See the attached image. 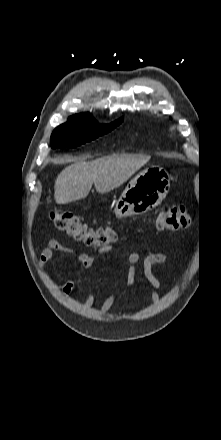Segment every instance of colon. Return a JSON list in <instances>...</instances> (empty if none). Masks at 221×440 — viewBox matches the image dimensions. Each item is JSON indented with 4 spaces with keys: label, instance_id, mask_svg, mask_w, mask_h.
Segmentation results:
<instances>
[{
    "label": "colon",
    "instance_id": "colon-1",
    "mask_svg": "<svg viewBox=\"0 0 221 440\" xmlns=\"http://www.w3.org/2000/svg\"><path fill=\"white\" fill-rule=\"evenodd\" d=\"M50 218L56 228L92 248H106L118 239V231L111 226L93 228L77 216L63 211H55ZM190 224V216L183 206H174L161 211L155 220V227L163 231H178Z\"/></svg>",
    "mask_w": 221,
    "mask_h": 440
}]
</instances>
